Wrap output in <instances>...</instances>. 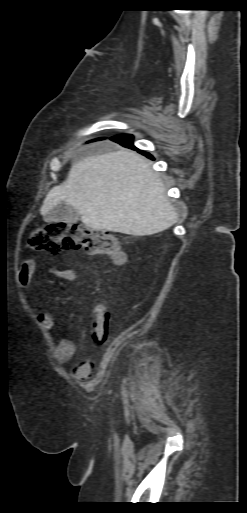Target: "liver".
<instances>
[{"mask_svg": "<svg viewBox=\"0 0 247 513\" xmlns=\"http://www.w3.org/2000/svg\"><path fill=\"white\" fill-rule=\"evenodd\" d=\"M71 205L94 230L134 236L159 233L176 221L159 174L138 153L120 149L74 164L66 180L47 194L40 214Z\"/></svg>", "mask_w": 247, "mask_h": 513, "instance_id": "liver-1", "label": "liver"}]
</instances>
